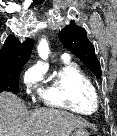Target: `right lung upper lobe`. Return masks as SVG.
Returning <instances> with one entry per match:
<instances>
[{"mask_svg":"<svg viewBox=\"0 0 117 136\" xmlns=\"http://www.w3.org/2000/svg\"><path fill=\"white\" fill-rule=\"evenodd\" d=\"M32 47V39L21 43L14 36H9L0 50V67L24 65L30 58Z\"/></svg>","mask_w":117,"mask_h":136,"instance_id":"obj_1","label":"right lung upper lobe"}]
</instances>
